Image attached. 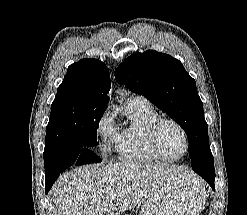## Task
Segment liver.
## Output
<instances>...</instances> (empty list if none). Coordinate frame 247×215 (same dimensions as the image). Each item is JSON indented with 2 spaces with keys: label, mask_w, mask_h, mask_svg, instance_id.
<instances>
[{
  "label": "liver",
  "mask_w": 247,
  "mask_h": 215,
  "mask_svg": "<svg viewBox=\"0 0 247 215\" xmlns=\"http://www.w3.org/2000/svg\"><path fill=\"white\" fill-rule=\"evenodd\" d=\"M184 172V168L161 163L86 165L60 176L51 192L59 215H120ZM110 193L116 197L111 199Z\"/></svg>",
  "instance_id": "liver-1"
}]
</instances>
